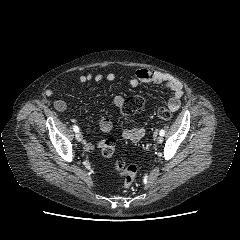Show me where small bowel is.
<instances>
[{"label":"small bowel","instance_id":"obj_1","mask_svg":"<svg viewBox=\"0 0 240 240\" xmlns=\"http://www.w3.org/2000/svg\"><path fill=\"white\" fill-rule=\"evenodd\" d=\"M116 79V74L113 72H108L106 74L100 73H86L78 77V81L81 83L87 82H101L103 80L114 81ZM127 80L129 84L133 87L138 86L142 83L148 84H161L165 86L168 90L172 92V96L169 99L167 106L171 112H176L180 108L181 98L184 94L181 82L174 76L166 73H162L156 70L148 69H138L133 74H127ZM47 94L51 95L52 90H47ZM124 98L120 95H116L111 99V105L115 108H122L124 105ZM54 108L59 112H64L67 110V104L63 100H57L54 102ZM99 129L103 133H109L112 129V122L108 118H102L99 121ZM145 134L144 127L128 128L122 131V138L128 141L137 142ZM84 146L87 150H93L95 148L94 144L91 142H84Z\"/></svg>","mask_w":240,"mask_h":240}]
</instances>
